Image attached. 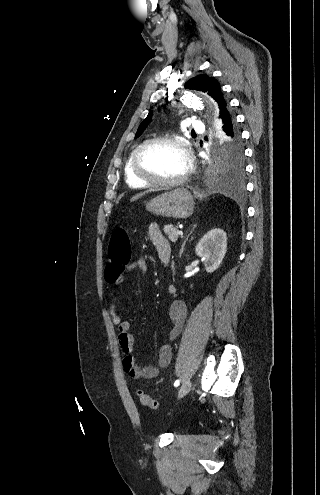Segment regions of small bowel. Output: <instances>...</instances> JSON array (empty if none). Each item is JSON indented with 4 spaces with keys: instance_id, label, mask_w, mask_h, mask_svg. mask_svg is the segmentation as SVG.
<instances>
[{
    "instance_id": "1",
    "label": "small bowel",
    "mask_w": 320,
    "mask_h": 495,
    "mask_svg": "<svg viewBox=\"0 0 320 495\" xmlns=\"http://www.w3.org/2000/svg\"><path fill=\"white\" fill-rule=\"evenodd\" d=\"M148 235L154 244L158 254L169 247V243L161 233L159 226L156 223H151L148 227ZM148 269L144 259H140L135 263L130 264L127 270H140L146 272ZM108 282L115 286H119L123 282L122 275L116 279L107 278ZM169 292L175 297L176 288L174 285L169 286ZM118 297L115 293L110 297L109 315L110 319L118 327V343L124 353L123 368L125 372L135 380L153 379L157 377L161 369L167 367L172 358V348L169 344H163L158 352L157 365H147L140 367L132 355L133 352V336L131 334V323L123 320L117 309ZM187 318V307L185 303L179 299H175L169 307V338L174 339L181 332Z\"/></svg>"
}]
</instances>
